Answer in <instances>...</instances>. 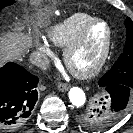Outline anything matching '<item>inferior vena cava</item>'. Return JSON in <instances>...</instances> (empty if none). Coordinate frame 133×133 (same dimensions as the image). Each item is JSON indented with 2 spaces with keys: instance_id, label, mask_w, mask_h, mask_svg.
I'll return each instance as SVG.
<instances>
[{
  "instance_id": "602c4592",
  "label": "inferior vena cava",
  "mask_w": 133,
  "mask_h": 133,
  "mask_svg": "<svg viewBox=\"0 0 133 133\" xmlns=\"http://www.w3.org/2000/svg\"><path fill=\"white\" fill-rule=\"evenodd\" d=\"M30 61L32 64L40 67L43 70H46L49 67V59L46 55L39 52L32 53L30 56Z\"/></svg>"
}]
</instances>
